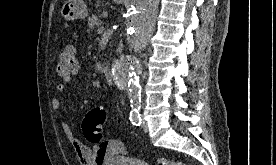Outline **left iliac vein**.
<instances>
[{
  "label": "left iliac vein",
  "instance_id": "left-iliac-vein-1",
  "mask_svg": "<svg viewBox=\"0 0 276 165\" xmlns=\"http://www.w3.org/2000/svg\"><path fill=\"white\" fill-rule=\"evenodd\" d=\"M141 127L145 130V131H147L148 130V124H147V121L146 120H142V122H141Z\"/></svg>",
  "mask_w": 276,
  "mask_h": 165
}]
</instances>
